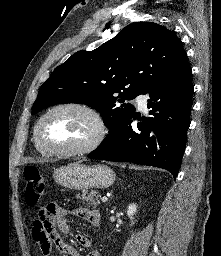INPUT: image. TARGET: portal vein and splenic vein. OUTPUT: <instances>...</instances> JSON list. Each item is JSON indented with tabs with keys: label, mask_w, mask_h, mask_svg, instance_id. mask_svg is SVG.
I'll return each mask as SVG.
<instances>
[{
	"label": "portal vein and splenic vein",
	"mask_w": 221,
	"mask_h": 256,
	"mask_svg": "<svg viewBox=\"0 0 221 256\" xmlns=\"http://www.w3.org/2000/svg\"><path fill=\"white\" fill-rule=\"evenodd\" d=\"M108 200V198L106 197V196H103L102 198H101V201L102 202H106Z\"/></svg>",
	"instance_id": "portal-vein-and-splenic-vein-1"
}]
</instances>
